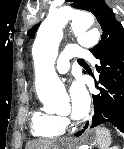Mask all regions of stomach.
<instances>
[{
	"mask_svg": "<svg viewBox=\"0 0 124 149\" xmlns=\"http://www.w3.org/2000/svg\"><path fill=\"white\" fill-rule=\"evenodd\" d=\"M97 141L96 135L93 132H86L83 135V142L85 144H92L95 143Z\"/></svg>",
	"mask_w": 124,
	"mask_h": 149,
	"instance_id": "obj_1",
	"label": "stomach"
}]
</instances>
